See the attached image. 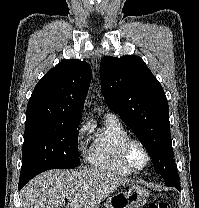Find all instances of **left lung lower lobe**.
Instances as JSON below:
<instances>
[{"mask_svg":"<svg viewBox=\"0 0 199 208\" xmlns=\"http://www.w3.org/2000/svg\"><path fill=\"white\" fill-rule=\"evenodd\" d=\"M166 184L169 186H175L179 191H181L180 184H179V177L178 178H171L165 179Z\"/></svg>","mask_w":199,"mask_h":208,"instance_id":"0a47b994","label":"left lung lower lobe"}]
</instances>
